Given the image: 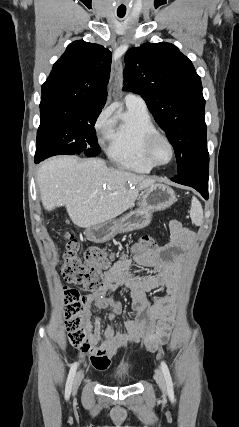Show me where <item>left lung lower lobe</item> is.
<instances>
[{"instance_id":"obj_1","label":"left lung lower lobe","mask_w":239,"mask_h":427,"mask_svg":"<svg viewBox=\"0 0 239 427\" xmlns=\"http://www.w3.org/2000/svg\"><path fill=\"white\" fill-rule=\"evenodd\" d=\"M208 170L209 156L197 161L183 173H178L171 180L186 186L193 187L207 200L208 199Z\"/></svg>"}]
</instances>
